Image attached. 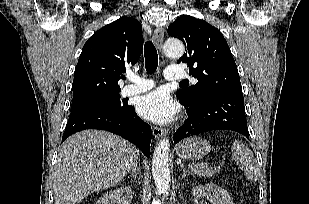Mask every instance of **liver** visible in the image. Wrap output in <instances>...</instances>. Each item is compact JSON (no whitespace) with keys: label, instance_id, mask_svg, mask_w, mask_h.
Masks as SVG:
<instances>
[{"label":"liver","instance_id":"liver-1","mask_svg":"<svg viewBox=\"0 0 309 204\" xmlns=\"http://www.w3.org/2000/svg\"><path fill=\"white\" fill-rule=\"evenodd\" d=\"M139 150L112 133L85 130L63 142L53 172L54 204H79L93 192L119 183Z\"/></svg>","mask_w":309,"mask_h":204}]
</instances>
